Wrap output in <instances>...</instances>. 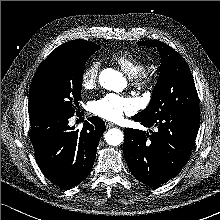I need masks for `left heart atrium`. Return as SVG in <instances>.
<instances>
[{"mask_svg": "<svg viewBox=\"0 0 220 220\" xmlns=\"http://www.w3.org/2000/svg\"><path fill=\"white\" fill-rule=\"evenodd\" d=\"M135 109L131 98L117 94H107L91 103L93 114L110 121L119 120L124 114H130Z\"/></svg>", "mask_w": 220, "mask_h": 220, "instance_id": "left-heart-atrium-1", "label": "left heart atrium"}]
</instances>
